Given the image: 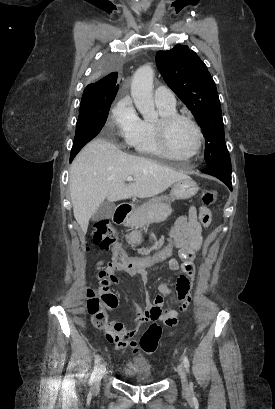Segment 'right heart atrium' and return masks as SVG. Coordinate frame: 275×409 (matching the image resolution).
Returning a JSON list of instances; mask_svg holds the SVG:
<instances>
[{
  "label": "right heart atrium",
  "mask_w": 275,
  "mask_h": 409,
  "mask_svg": "<svg viewBox=\"0 0 275 409\" xmlns=\"http://www.w3.org/2000/svg\"><path fill=\"white\" fill-rule=\"evenodd\" d=\"M110 121L115 130V140L112 143H126L127 148L132 145L140 119L130 100H122L113 108Z\"/></svg>",
  "instance_id": "1"
}]
</instances>
